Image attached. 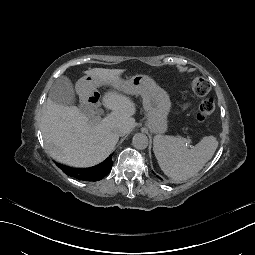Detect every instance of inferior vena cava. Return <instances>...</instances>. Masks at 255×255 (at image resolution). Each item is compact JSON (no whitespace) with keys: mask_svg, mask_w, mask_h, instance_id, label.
<instances>
[{"mask_svg":"<svg viewBox=\"0 0 255 255\" xmlns=\"http://www.w3.org/2000/svg\"><path fill=\"white\" fill-rule=\"evenodd\" d=\"M113 130L118 136H124L129 131V127L126 124H120L115 126Z\"/></svg>","mask_w":255,"mask_h":255,"instance_id":"obj_1","label":"inferior vena cava"}]
</instances>
